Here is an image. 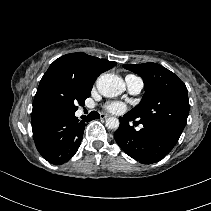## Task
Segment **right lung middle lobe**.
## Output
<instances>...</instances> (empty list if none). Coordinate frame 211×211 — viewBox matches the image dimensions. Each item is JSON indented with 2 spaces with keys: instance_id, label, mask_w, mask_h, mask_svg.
I'll return each instance as SVG.
<instances>
[{
  "instance_id": "dd1d6c3e",
  "label": "right lung middle lobe",
  "mask_w": 211,
  "mask_h": 211,
  "mask_svg": "<svg viewBox=\"0 0 211 211\" xmlns=\"http://www.w3.org/2000/svg\"><path fill=\"white\" fill-rule=\"evenodd\" d=\"M92 87H82L73 83H62L52 86L45 97V110L49 117L75 113L78 104L91 95Z\"/></svg>"
}]
</instances>
